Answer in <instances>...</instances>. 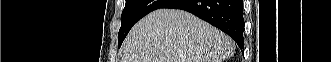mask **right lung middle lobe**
Wrapping results in <instances>:
<instances>
[{"mask_svg":"<svg viewBox=\"0 0 331 62\" xmlns=\"http://www.w3.org/2000/svg\"><path fill=\"white\" fill-rule=\"evenodd\" d=\"M172 0H126L121 17V28L118 33V46L120 47L126 35L142 17L148 13L163 8Z\"/></svg>","mask_w":331,"mask_h":62,"instance_id":"dd1d6c3e","label":"right lung middle lobe"}]
</instances>
